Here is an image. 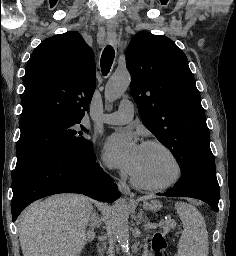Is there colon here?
Instances as JSON below:
<instances>
[{"label":"colon","mask_w":236,"mask_h":256,"mask_svg":"<svg viewBox=\"0 0 236 256\" xmlns=\"http://www.w3.org/2000/svg\"><path fill=\"white\" fill-rule=\"evenodd\" d=\"M152 256H167L166 254V239L164 233L157 231L151 242Z\"/></svg>","instance_id":"5ec220e1"}]
</instances>
